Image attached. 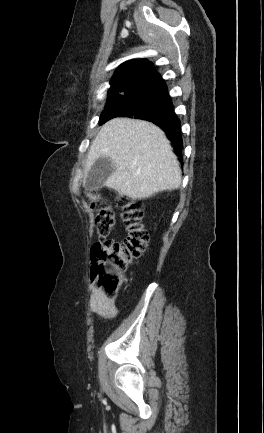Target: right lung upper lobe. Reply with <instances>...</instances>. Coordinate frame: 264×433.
<instances>
[{
	"label": "right lung upper lobe",
	"instance_id": "right-lung-upper-lobe-1",
	"mask_svg": "<svg viewBox=\"0 0 264 433\" xmlns=\"http://www.w3.org/2000/svg\"><path fill=\"white\" fill-rule=\"evenodd\" d=\"M155 74L156 70L150 61L144 59L126 61L118 67L112 77L109 97H116L131 89L142 88Z\"/></svg>",
	"mask_w": 264,
	"mask_h": 433
}]
</instances>
